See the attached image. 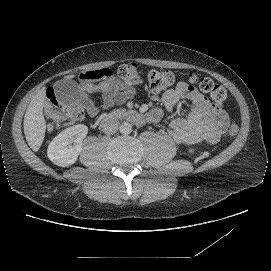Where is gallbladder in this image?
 I'll list each match as a JSON object with an SVG mask.
<instances>
[{"mask_svg": "<svg viewBox=\"0 0 271 271\" xmlns=\"http://www.w3.org/2000/svg\"><path fill=\"white\" fill-rule=\"evenodd\" d=\"M55 96L61 104L67 108L78 106L82 100V88L80 84L71 79L56 81L53 85Z\"/></svg>", "mask_w": 271, "mask_h": 271, "instance_id": "1", "label": "gallbladder"}]
</instances>
